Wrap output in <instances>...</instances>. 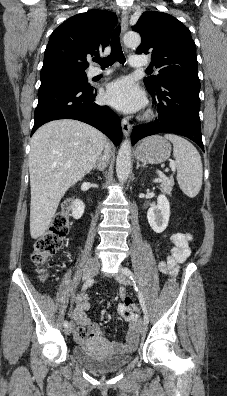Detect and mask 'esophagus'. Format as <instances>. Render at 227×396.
<instances>
[{
    "mask_svg": "<svg viewBox=\"0 0 227 396\" xmlns=\"http://www.w3.org/2000/svg\"><path fill=\"white\" fill-rule=\"evenodd\" d=\"M128 19H129V13L127 10L122 12L121 16V35L123 36L124 33L128 29ZM127 51V49H125ZM121 126H122V131L125 136H128L130 131H131V125L126 119H122L121 121Z\"/></svg>",
    "mask_w": 227,
    "mask_h": 396,
    "instance_id": "esophagus-1",
    "label": "esophagus"
}]
</instances>
